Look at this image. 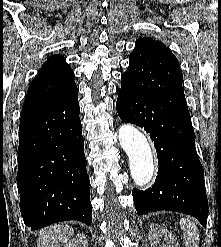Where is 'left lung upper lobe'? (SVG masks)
I'll return each mask as SVG.
<instances>
[{"mask_svg":"<svg viewBox=\"0 0 221 247\" xmlns=\"http://www.w3.org/2000/svg\"><path fill=\"white\" fill-rule=\"evenodd\" d=\"M129 62L123 75L133 83L137 94L188 112L182 89V71L178 60L164 43L139 37Z\"/></svg>","mask_w":221,"mask_h":247,"instance_id":"obj_1","label":"left lung upper lobe"}]
</instances>
